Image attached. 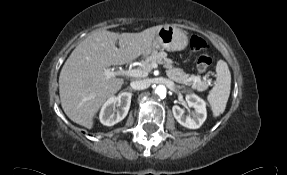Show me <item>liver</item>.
<instances>
[{
    "instance_id": "obj_1",
    "label": "liver",
    "mask_w": 287,
    "mask_h": 175,
    "mask_svg": "<svg viewBox=\"0 0 287 175\" xmlns=\"http://www.w3.org/2000/svg\"><path fill=\"white\" fill-rule=\"evenodd\" d=\"M160 26L140 33L96 30L74 49L59 76L61 105L73 122L93 127L95 114L124 83L122 78H107L104 72L111 65H123L144 54L152 46Z\"/></svg>"
}]
</instances>
